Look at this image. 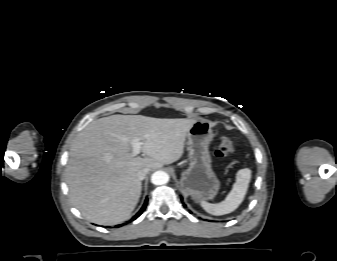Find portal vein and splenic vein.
<instances>
[{"instance_id":"portal-vein-and-splenic-vein-1","label":"portal vein and splenic vein","mask_w":337,"mask_h":261,"mask_svg":"<svg viewBox=\"0 0 337 261\" xmlns=\"http://www.w3.org/2000/svg\"><path fill=\"white\" fill-rule=\"evenodd\" d=\"M131 145H132V155L136 156L140 153L141 149H142V143L140 142L139 139H133L131 141Z\"/></svg>"}]
</instances>
